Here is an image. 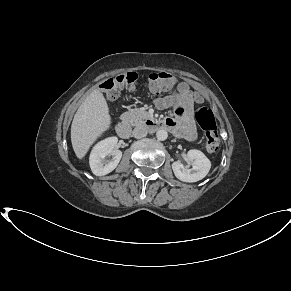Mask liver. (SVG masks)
Listing matches in <instances>:
<instances>
[{
	"instance_id": "6515ba94",
	"label": "liver",
	"mask_w": 291,
	"mask_h": 291,
	"mask_svg": "<svg viewBox=\"0 0 291 291\" xmlns=\"http://www.w3.org/2000/svg\"><path fill=\"white\" fill-rule=\"evenodd\" d=\"M112 119L103 93L94 89L79 106L71 125V142L78 159L111 127Z\"/></svg>"
}]
</instances>
